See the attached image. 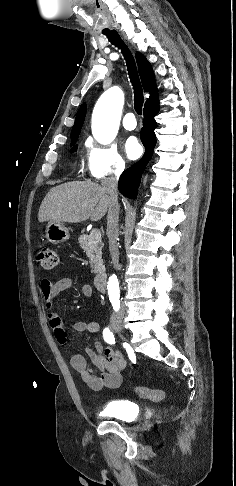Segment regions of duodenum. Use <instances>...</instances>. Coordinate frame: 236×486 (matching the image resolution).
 <instances>
[{
    "label": "duodenum",
    "mask_w": 236,
    "mask_h": 486,
    "mask_svg": "<svg viewBox=\"0 0 236 486\" xmlns=\"http://www.w3.org/2000/svg\"><path fill=\"white\" fill-rule=\"evenodd\" d=\"M106 274L103 272L98 273L94 278V286L100 292L106 291Z\"/></svg>",
    "instance_id": "410a0bca"
}]
</instances>
